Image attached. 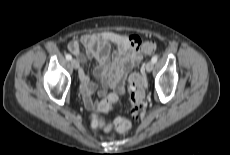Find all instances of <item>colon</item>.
<instances>
[{"mask_svg": "<svg viewBox=\"0 0 230 155\" xmlns=\"http://www.w3.org/2000/svg\"><path fill=\"white\" fill-rule=\"evenodd\" d=\"M141 50L146 54H152L156 49V44L153 41H140ZM130 99H131V115L137 117L139 112L146 104V87L140 72L133 74L130 78ZM116 102L114 97L109 99L111 106ZM92 125L96 128L110 131L115 129L119 133L128 132L131 128L130 121L124 118H116L112 124L105 123L97 116L92 117Z\"/></svg>", "mask_w": 230, "mask_h": 155, "instance_id": "colon-1", "label": "colon"}]
</instances>
